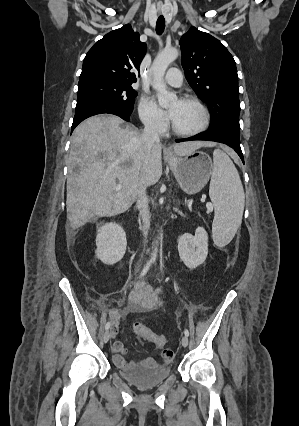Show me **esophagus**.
Here are the masks:
<instances>
[{"mask_svg":"<svg viewBox=\"0 0 299 426\" xmlns=\"http://www.w3.org/2000/svg\"><path fill=\"white\" fill-rule=\"evenodd\" d=\"M167 152L169 153L170 151H169V149H167Z\"/></svg>","mask_w":299,"mask_h":426,"instance_id":"1","label":"esophagus"}]
</instances>
